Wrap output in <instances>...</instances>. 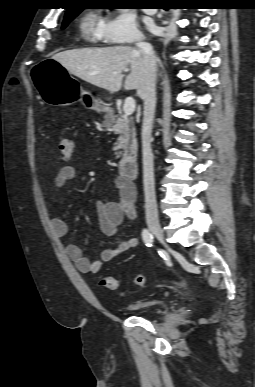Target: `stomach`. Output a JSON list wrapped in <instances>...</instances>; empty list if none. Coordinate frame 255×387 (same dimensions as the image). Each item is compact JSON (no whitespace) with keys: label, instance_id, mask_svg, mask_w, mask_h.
Returning a JSON list of instances; mask_svg holds the SVG:
<instances>
[{"label":"stomach","instance_id":"0dacf381","mask_svg":"<svg viewBox=\"0 0 255 387\" xmlns=\"http://www.w3.org/2000/svg\"><path fill=\"white\" fill-rule=\"evenodd\" d=\"M28 73L34 82V90L39 91L42 99L49 105H71L76 96H81L85 108L103 111L91 93L75 89V79L54 59L39 62L38 66H28Z\"/></svg>","mask_w":255,"mask_h":387}]
</instances>
